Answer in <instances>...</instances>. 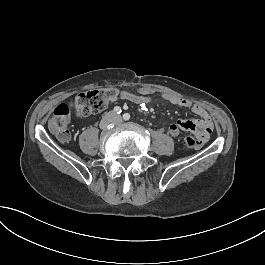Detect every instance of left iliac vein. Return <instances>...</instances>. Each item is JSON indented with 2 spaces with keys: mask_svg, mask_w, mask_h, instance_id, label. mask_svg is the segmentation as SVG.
Wrapping results in <instances>:
<instances>
[{
  "mask_svg": "<svg viewBox=\"0 0 265 265\" xmlns=\"http://www.w3.org/2000/svg\"><path fill=\"white\" fill-rule=\"evenodd\" d=\"M121 116H114V122H120L121 121Z\"/></svg>",
  "mask_w": 265,
  "mask_h": 265,
  "instance_id": "obj_1",
  "label": "left iliac vein"
}]
</instances>
